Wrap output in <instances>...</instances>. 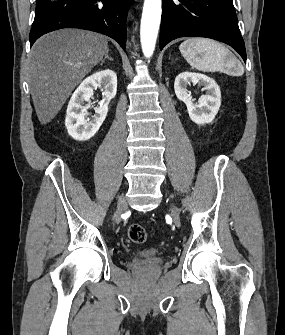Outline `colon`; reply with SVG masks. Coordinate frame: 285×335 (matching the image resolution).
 <instances>
[{"label":"colon","mask_w":285,"mask_h":335,"mask_svg":"<svg viewBox=\"0 0 285 335\" xmlns=\"http://www.w3.org/2000/svg\"><path fill=\"white\" fill-rule=\"evenodd\" d=\"M128 237L135 244H142L147 239L146 229L140 224H132L128 228Z\"/></svg>","instance_id":"colon-1"}]
</instances>
